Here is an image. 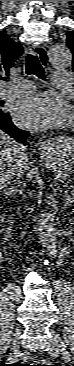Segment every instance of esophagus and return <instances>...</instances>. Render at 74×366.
Masks as SVG:
<instances>
[{
    "mask_svg": "<svg viewBox=\"0 0 74 366\" xmlns=\"http://www.w3.org/2000/svg\"><path fill=\"white\" fill-rule=\"evenodd\" d=\"M30 53L33 55H36L43 66H46L48 64V61H49L48 53L44 47L39 46V45L32 46L30 48ZM40 150H41L42 155H45L46 152L49 150V147L46 144H42L40 146Z\"/></svg>",
    "mask_w": 74,
    "mask_h": 366,
    "instance_id": "esophagus-1",
    "label": "esophagus"
}]
</instances>
